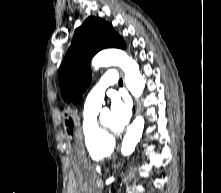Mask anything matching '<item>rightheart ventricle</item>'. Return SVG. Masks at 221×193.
Instances as JSON below:
<instances>
[{
  "label": "right heart ventricle",
  "instance_id": "e07e8e85",
  "mask_svg": "<svg viewBox=\"0 0 221 193\" xmlns=\"http://www.w3.org/2000/svg\"><path fill=\"white\" fill-rule=\"evenodd\" d=\"M98 110L84 111L81 123L82 139L86 151L93 159L110 155L114 149L113 139L106 138L98 128Z\"/></svg>",
  "mask_w": 221,
  "mask_h": 193
}]
</instances>
